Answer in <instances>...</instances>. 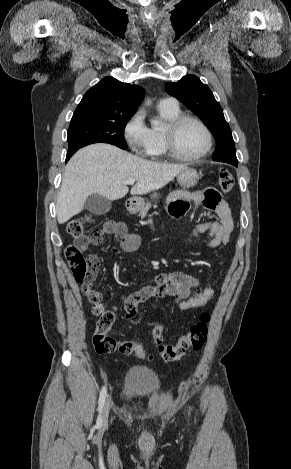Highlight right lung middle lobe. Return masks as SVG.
I'll use <instances>...</instances> for the list:
<instances>
[{
	"label": "right lung middle lobe",
	"instance_id": "dd1d6c3e",
	"mask_svg": "<svg viewBox=\"0 0 291 469\" xmlns=\"http://www.w3.org/2000/svg\"><path fill=\"white\" fill-rule=\"evenodd\" d=\"M132 116L73 114L67 132L68 150L92 143H109L126 149L124 129Z\"/></svg>",
	"mask_w": 291,
	"mask_h": 469
}]
</instances>
